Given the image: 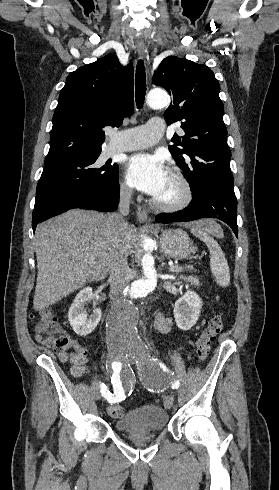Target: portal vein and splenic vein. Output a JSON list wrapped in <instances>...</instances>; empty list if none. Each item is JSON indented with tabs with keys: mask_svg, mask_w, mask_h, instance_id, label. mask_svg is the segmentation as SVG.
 Segmentation results:
<instances>
[{
	"mask_svg": "<svg viewBox=\"0 0 279 490\" xmlns=\"http://www.w3.org/2000/svg\"><path fill=\"white\" fill-rule=\"evenodd\" d=\"M187 268H191V266H187ZM182 268H178V266H170L169 272H181Z\"/></svg>",
	"mask_w": 279,
	"mask_h": 490,
	"instance_id": "portal-vein-and-splenic-vein-1",
	"label": "portal vein and splenic vein"
}]
</instances>
